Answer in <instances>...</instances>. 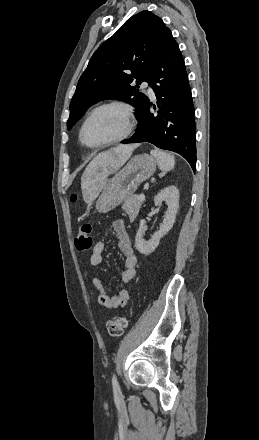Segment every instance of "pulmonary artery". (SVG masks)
<instances>
[{
	"mask_svg": "<svg viewBox=\"0 0 259 440\" xmlns=\"http://www.w3.org/2000/svg\"><path fill=\"white\" fill-rule=\"evenodd\" d=\"M142 87L145 88V89L148 91V93H149V95H150L151 97H154V96H155L154 91H153V89H152V87H151V85H150L149 82L144 81V82L142 83Z\"/></svg>",
	"mask_w": 259,
	"mask_h": 440,
	"instance_id": "pulmonary-artery-1",
	"label": "pulmonary artery"
}]
</instances>
